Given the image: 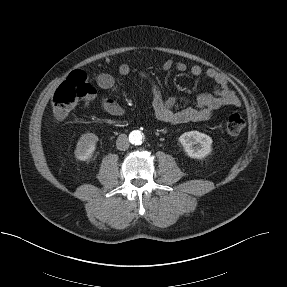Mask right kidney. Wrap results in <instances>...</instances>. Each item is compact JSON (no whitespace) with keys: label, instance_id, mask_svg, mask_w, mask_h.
Listing matches in <instances>:
<instances>
[{"label":"right kidney","instance_id":"obj_1","mask_svg":"<svg viewBox=\"0 0 287 287\" xmlns=\"http://www.w3.org/2000/svg\"><path fill=\"white\" fill-rule=\"evenodd\" d=\"M98 137L93 133H86L80 137L76 145L75 156L81 161L90 159L96 149Z\"/></svg>","mask_w":287,"mask_h":287}]
</instances>
